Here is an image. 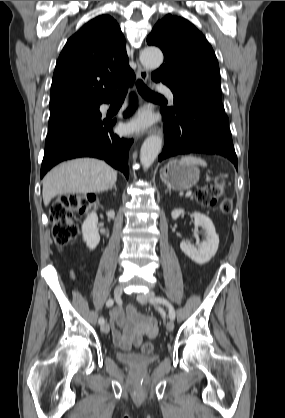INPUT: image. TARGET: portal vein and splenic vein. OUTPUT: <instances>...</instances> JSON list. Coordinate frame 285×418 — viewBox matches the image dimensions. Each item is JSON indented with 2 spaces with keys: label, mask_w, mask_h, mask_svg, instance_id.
<instances>
[{
  "label": "portal vein and splenic vein",
  "mask_w": 285,
  "mask_h": 418,
  "mask_svg": "<svg viewBox=\"0 0 285 418\" xmlns=\"http://www.w3.org/2000/svg\"><path fill=\"white\" fill-rule=\"evenodd\" d=\"M191 195H192V191H188L185 196L190 197Z\"/></svg>",
  "instance_id": "18ae733b"
}]
</instances>
